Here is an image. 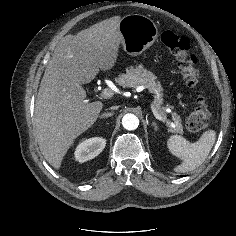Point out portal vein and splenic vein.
Here are the masks:
<instances>
[{
	"label": "portal vein and splenic vein",
	"instance_id": "1",
	"mask_svg": "<svg viewBox=\"0 0 236 236\" xmlns=\"http://www.w3.org/2000/svg\"><path fill=\"white\" fill-rule=\"evenodd\" d=\"M114 94L113 90L110 89V88H105L102 92H101V97L103 98H110L112 97ZM151 109H152V112L155 116L156 119H158L159 121H162V122H167L166 121V118L163 117L162 115H160L157 110L155 109V107L153 105H151Z\"/></svg>",
	"mask_w": 236,
	"mask_h": 236
}]
</instances>
